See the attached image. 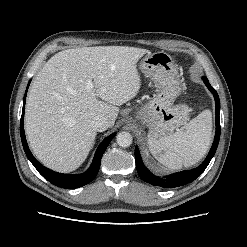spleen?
Wrapping results in <instances>:
<instances>
[{"label": "spleen", "mask_w": 247, "mask_h": 247, "mask_svg": "<svg viewBox=\"0 0 247 247\" xmlns=\"http://www.w3.org/2000/svg\"><path fill=\"white\" fill-rule=\"evenodd\" d=\"M212 140V115L204 110L169 136L148 135V145L155 159L170 169L190 167L200 161Z\"/></svg>", "instance_id": "3e777b00"}]
</instances>
